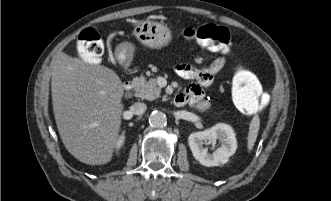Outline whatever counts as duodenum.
Wrapping results in <instances>:
<instances>
[{
  "label": "duodenum",
  "instance_id": "1",
  "mask_svg": "<svg viewBox=\"0 0 331 201\" xmlns=\"http://www.w3.org/2000/svg\"><path fill=\"white\" fill-rule=\"evenodd\" d=\"M123 87L125 91H131L135 87V81L133 80H127L124 82ZM174 104L180 105L181 103V98L179 95H176L173 99Z\"/></svg>",
  "mask_w": 331,
  "mask_h": 201
}]
</instances>
